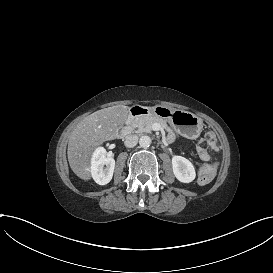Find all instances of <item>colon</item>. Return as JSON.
I'll list each match as a JSON object with an SVG mask.
<instances>
[{
	"instance_id": "obj_1",
	"label": "colon",
	"mask_w": 273,
	"mask_h": 273,
	"mask_svg": "<svg viewBox=\"0 0 273 273\" xmlns=\"http://www.w3.org/2000/svg\"><path fill=\"white\" fill-rule=\"evenodd\" d=\"M216 170V163L206 164L200 171L201 183H208L215 176Z\"/></svg>"
}]
</instances>
